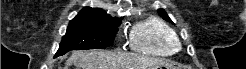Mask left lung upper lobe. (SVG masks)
Segmentation results:
<instances>
[{
    "instance_id": "5c2ea615",
    "label": "left lung upper lobe",
    "mask_w": 246,
    "mask_h": 69,
    "mask_svg": "<svg viewBox=\"0 0 246 69\" xmlns=\"http://www.w3.org/2000/svg\"><path fill=\"white\" fill-rule=\"evenodd\" d=\"M158 13L161 17H163L166 21L172 22L167 13L163 9H159Z\"/></svg>"
}]
</instances>
